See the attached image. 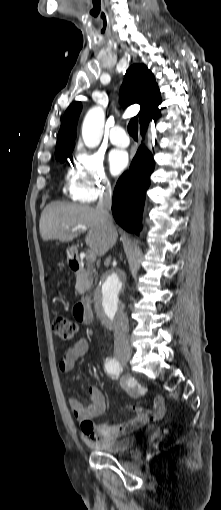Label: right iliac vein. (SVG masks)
Segmentation results:
<instances>
[{
  "mask_svg": "<svg viewBox=\"0 0 221 510\" xmlns=\"http://www.w3.org/2000/svg\"><path fill=\"white\" fill-rule=\"evenodd\" d=\"M130 358H131L130 352L120 353L117 355L118 361H120L122 364L128 362L130 360Z\"/></svg>",
  "mask_w": 221,
  "mask_h": 510,
  "instance_id": "63e3f726",
  "label": "right iliac vein"
}]
</instances>
